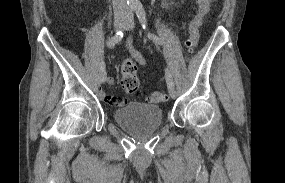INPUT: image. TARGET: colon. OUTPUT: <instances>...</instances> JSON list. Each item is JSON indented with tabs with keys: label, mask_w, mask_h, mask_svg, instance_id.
<instances>
[{
	"label": "colon",
	"mask_w": 285,
	"mask_h": 183,
	"mask_svg": "<svg viewBox=\"0 0 285 183\" xmlns=\"http://www.w3.org/2000/svg\"><path fill=\"white\" fill-rule=\"evenodd\" d=\"M214 0H196L197 10L195 14L188 19V34L185 41V46L188 51L192 52L199 41V28L203 23L204 16L209 11V6ZM121 86L124 91L131 95H139L140 79L137 75V64L131 58L125 59L121 64ZM168 99V96L163 91H153L148 95V100L151 103H162ZM111 102L120 104L116 98H112Z\"/></svg>",
	"instance_id": "1"
}]
</instances>
